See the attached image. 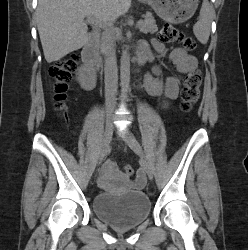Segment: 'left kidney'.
Returning a JSON list of instances; mask_svg holds the SVG:
<instances>
[{"label": "left kidney", "instance_id": "5707ae66", "mask_svg": "<svg viewBox=\"0 0 248 250\" xmlns=\"http://www.w3.org/2000/svg\"><path fill=\"white\" fill-rule=\"evenodd\" d=\"M161 88H162V85L158 84V89L161 90Z\"/></svg>", "mask_w": 248, "mask_h": 250}]
</instances>
